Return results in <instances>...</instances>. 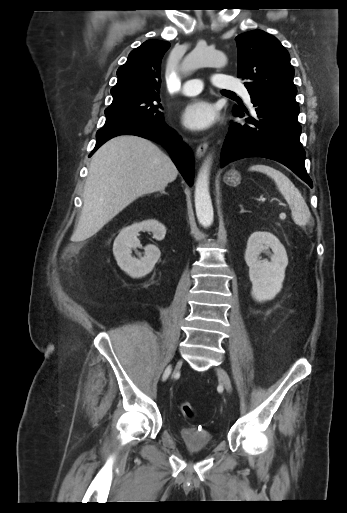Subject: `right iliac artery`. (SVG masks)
Wrapping results in <instances>:
<instances>
[{
	"label": "right iliac artery",
	"instance_id": "right-iliac-artery-1",
	"mask_svg": "<svg viewBox=\"0 0 347 513\" xmlns=\"http://www.w3.org/2000/svg\"><path fill=\"white\" fill-rule=\"evenodd\" d=\"M171 372V367L168 366L163 374V380H166Z\"/></svg>",
	"mask_w": 347,
	"mask_h": 513
}]
</instances>
